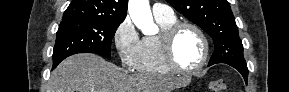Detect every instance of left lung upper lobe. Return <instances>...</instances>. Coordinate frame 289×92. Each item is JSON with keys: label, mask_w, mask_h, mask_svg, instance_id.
I'll return each mask as SVG.
<instances>
[{"label": "left lung upper lobe", "mask_w": 289, "mask_h": 92, "mask_svg": "<svg viewBox=\"0 0 289 92\" xmlns=\"http://www.w3.org/2000/svg\"><path fill=\"white\" fill-rule=\"evenodd\" d=\"M178 12L207 32L214 41L209 65H246L243 45L227 0H166Z\"/></svg>", "instance_id": "5c2ea615"}]
</instances>
